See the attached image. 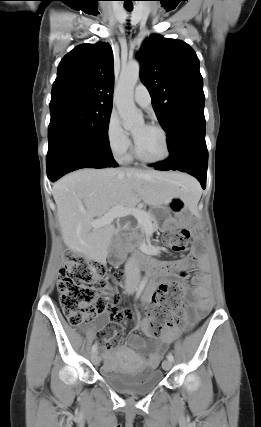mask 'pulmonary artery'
Masks as SVG:
<instances>
[{
  "label": "pulmonary artery",
  "instance_id": "obj_1",
  "mask_svg": "<svg viewBox=\"0 0 261 427\" xmlns=\"http://www.w3.org/2000/svg\"><path fill=\"white\" fill-rule=\"evenodd\" d=\"M134 101L141 107L148 108L151 105L152 99L147 87L143 84H138L134 90Z\"/></svg>",
  "mask_w": 261,
  "mask_h": 427
}]
</instances>
